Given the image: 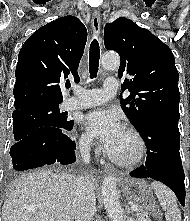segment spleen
<instances>
[{
	"mask_svg": "<svg viewBox=\"0 0 190 221\" xmlns=\"http://www.w3.org/2000/svg\"><path fill=\"white\" fill-rule=\"evenodd\" d=\"M151 187L163 210H165L166 221H181V212L177 206V199L174 193L160 182H152Z\"/></svg>",
	"mask_w": 190,
	"mask_h": 221,
	"instance_id": "obj_1",
	"label": "spleen"
}]
</instances>
